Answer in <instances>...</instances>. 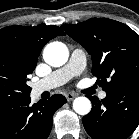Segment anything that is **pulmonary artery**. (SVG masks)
<instances>
[{
  "label": "pulmonary artery",
  "mask_w": 139,
  "mask_h": 139,
  "mask_svg": "<svg viewBox=\"0 0 139 139\" xmlns=\"http://www.w3.org/2000/svg\"><path fill=\"white\" fill-rule=\"evenodd\" d=\"M86 66V55L81 49H75L69 61L61 68L53 71L48 76L42 78L32 85V94L39 96L41 93L61 86L75 76L82 73ZM105 91H100L99 98L106 97Z\"/></svg>",
  "instance_id": "1"
}]
</instances>
